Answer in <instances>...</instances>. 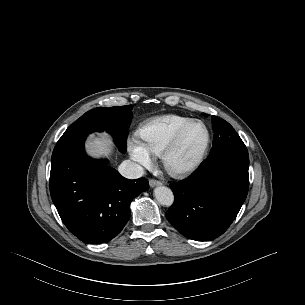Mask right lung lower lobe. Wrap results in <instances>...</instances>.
I'll list each match as a JSON object with an SVG mask.
<instances>
[{
    "instance_id": "98d812e1",
    "label": "right lung lower lobe",
    "mask_w": 305,
    "mask_h": 305,
    "mask_svg": "<svg viewBox=\"0 0 305 305\" xmlns=\"http://www.w3.org/2000/svg\"><path fill=\"white\" fill-rule=\"evenodd\" d=\"M85 139L81 136L56 144L50 194L71 233L84 243H106L123 229L130 218V202L148 190L149 183L143 177L126 179L108 161L88 157Z\"/></svg>"
}]
</instances>
